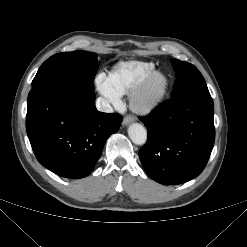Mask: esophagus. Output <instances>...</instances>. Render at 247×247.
<instances>
[{
	"label": "esophagus",
	"mask_w": 247,
	"mask_h": 247,
	"mask_svg": "<svg viewBox=\"0 0 247 247\" xmlns=\"http://www.w3.org/2000/svg\"><path fill=\"white\" fill-rule=\"evenodd\" d=\"M134 121V118L132 116H126L124 119H123V126H126L130 123H132Z\"/></svg>",
	"instance_id": "34e87169"
}]
</instances>
